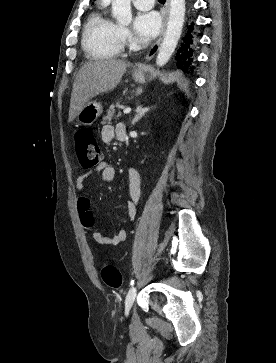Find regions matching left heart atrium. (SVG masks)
I'll use <instances>...</instances> for the list:
<instances>
[{
    "mask_svg": "<svg viewBox=\"0 0 276 363\" xmlns=\"http://www.w3.org/2000/svg\"><path fill=\"white\" fill-rule=\"evenodd\" d=\"M134 30L142 40L156 37L161 28V17L156 11L138 12L134 19Z\"/></svg>",
    "mask_w": 276,
    "mask_h": 363,
    "instance_id": "1",
    "label": "left heart atrium"
}]
</instances>
